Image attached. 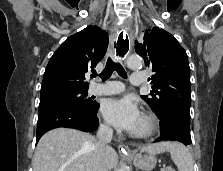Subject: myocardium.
I'll return each instance as SVG.
<instances>
[{"label":"myocardium","mask_w":223,"mask_h":171,"mask_svg":"<svg viewBox=\"0 0 223 171\" xmlns=\"http://www.w3.org/2000/svg\"><path fill=\"white\" fill-rule=\"evenodd\" d=\"M143 129L139 132H134L133 137L145 139L151 137L158 129L157 119L152 114H143L142 117Z\"/></svg>","instance_id":"obj_1"}]
</instances>
